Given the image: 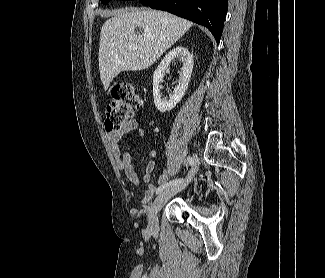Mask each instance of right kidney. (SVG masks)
I'll return each instance as SVG.
<instances>
[{
  "mask_svg": "<svg viewBox=\"0 0 325 278\" xmlns=\"http://www.w3.org/2000/svg\"><path fill=\"white\" fill-rule=\"evenodd\" d=\"M176 57H181L183 62L179 76V84L174 88L173 94L170 96L169 100L162 99L160 94V83L163 81L165 70L170 66L171 61ZM192 70L193 56L184 46H177L162 59L153 74L154 104L160 112L164 113L166 111H170L176 106L177 103L180 102L188 87Z\"/></svg>",
  "mask_w": 325,
  "mask_h": 278,
  "instance_id": "1",
  "label": "right kidney"
}]
</instances>
